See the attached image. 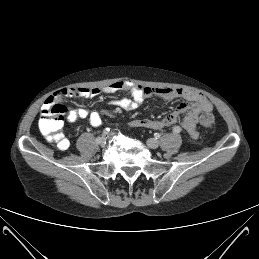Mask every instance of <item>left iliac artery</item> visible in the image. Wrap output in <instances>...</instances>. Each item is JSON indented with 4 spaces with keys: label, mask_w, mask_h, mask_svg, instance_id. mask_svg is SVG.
<instances>
[{
    "label": "left iliac artery",
    "mask_w": 259,
    "mask_h": 259,
    "mask_svg": "<svg viewBox=\"0 0 259 259\" xmlns=\"http://www.w3.org/2000/svg\"><path fill=\"white\" fill-rule=\"evenodd\" d=\"M180 130H181V129H180V127H178V126H176V127L173 128V132H174V133H179Z\"/></svg>",
    "instance_id": "left-iliac-artery-1"
}]
</instances>
